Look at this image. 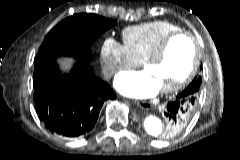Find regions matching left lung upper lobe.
Masks as SVG:
<instances>
[{"label":"left lung upper lobe","mask_w":240,"mask_h":160,"mask_svg":"<svg viewBox=\"0 0 240 160\" xmlns=\"http://www.w3.org/2000/svg\"><path fill=\"white\" fill-rule=\"evenodd\" d=\"M202 79L201 77H195V79L192 81V83L196 84V91L198 92L200 89V85H201ZM191 83V84H192ZM193 113L188 111L186 113H183V117L186 119L184 120V122H182V125L177 127L175 130L172 128L170 122L167 119V131L165 133V137H169L171 135H174L175 133L180 132L190 121L191 117H192Z\"/></svg>","instance_id":"5c2ea615"}]
</instances>
